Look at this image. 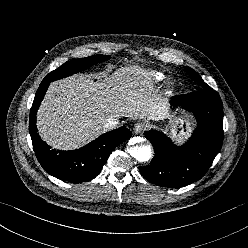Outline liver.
<instances>
[{
	"instance_id": "6515ba94",
	"label": "liver",
	"mask_w": 248,
	"mask_h": 248,
	"mask_svg": "<svg viewBox=\"0 0 248 248\" xmlns=\"http://www.w3.org/2000/svg\"><path fill=\"white\" fill-rule=\"evenodd\" d=\"M165 107L148 72L129 66L97 81L79 74L52 82L38 109L37 127L53 148L75 149L102 134L109 118L158 120Z\"/></svg>"
}]
</instances>
